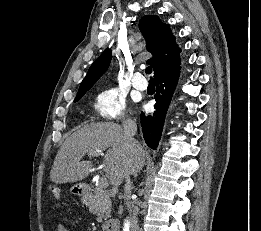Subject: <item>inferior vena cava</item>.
Here are the masks:
<instances>
[{"instance_id": "inferior-vena-cava-1", "label": "inferior vena cava", "mask_w": 261, "mask_h": 231, "mask_svg": "<svg viewBox=\"0 0 261 231\" xmlns=\"http://www.w3.org/2000/svg\"><path fill=\"white\" fill-rule=\"evenodd\" d=\"M123 137L126 145L129 147L131 155L133 159L139 157L141 153V146L139 143L134 139V136L137 131V125L134 121L127 119L123 122ZM130 172L125 174V185H124V202L126 204L127 210L129 211L131 218H130V229L131 231H140L138 226V220L136 217V213L133 210V206L131 204V189H132V182L130 179Z\"/></svg>"}]
</instances>
